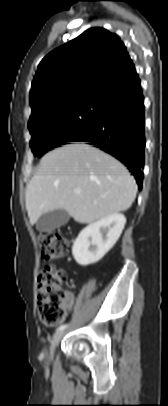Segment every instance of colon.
<instances>
[{"mask_svg": "<svg viewBox=\"0 0 168 406\" xmlns=\"http://www.w3.org/2000/svg\"><path fill=\"white\" fill-rule=\"evenodd\" d=\"M41 257L52 261L65 256L70 250V242L60 232H42L38 236ZM66 275L63 270H55L50 266L39 272L37 278L36 300L40 320L47 325H57L65 315L64 299L66 292L63 284Z\"/></svg>", "mask_w": 168, "mask_h": 406, "instance_id": "obj_1", "label": "colon"}]
</instances>
